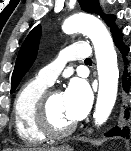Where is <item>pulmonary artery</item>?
Returning <instances> with one entry per match:
<instances>
[{"label":"pulmonary artery","mask_w":131,"mask_h":151,"mask_svg":"<svg viewBox=\"0 0 131 151\" xmlns=\"http://www.w3.org/2000/svg\"><path fill=\"white\" fill-rule=\"evenodd\" d=\"M90 55L91 50L86 42H74L61 51L57 60L42 68L39 71L37 78L42 82L51 85L67 61H85L87 58H90Z\"/></svg>","instance_id":"pulmonary-artery-1"}]
</instances>
